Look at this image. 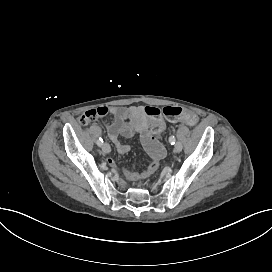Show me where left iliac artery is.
I'll list each match as a JSON object with an SVG mask.
<instances>
[{
  "instance_id": "obj_1",
  "label": "left iliac artery",
  "mask_w": 272,
  "mask_h": 272,
  "mask_svg": "<svg viewBox=\"0 0 272 272\" xmlns=\"http://www.w3.org/2000/svg\"><path fill=\"white\" fill-rule=\"evenodd\" d=\"M169 142H170L171 145H174L175 142H176L175 137H174V136H170V137H169Z\"/></svg>"
}]
</instances>
